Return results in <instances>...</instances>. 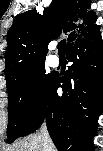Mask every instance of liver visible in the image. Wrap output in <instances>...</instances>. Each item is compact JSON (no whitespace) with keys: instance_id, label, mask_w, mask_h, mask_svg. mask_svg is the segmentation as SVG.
Listing matches in <instances>:
<instances>
[{"instance_id":"1","label":"liver","mask_w":103,"mask_h":151,"mask_svg":"<svg viewBox=\"0 0 103 151\" xmlns=\"http://www.w3.org/2000/svg\"><path fill=\"white\" fill-rule=\"evenodd\" d=\"M48 151H56L53 144H49ZM7 151H43V142L40 134L26 137L7 149Z\"/></svg>"}]
</instances>
